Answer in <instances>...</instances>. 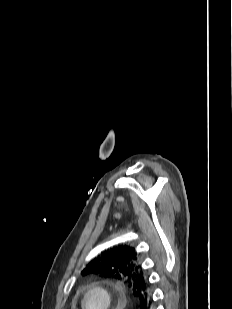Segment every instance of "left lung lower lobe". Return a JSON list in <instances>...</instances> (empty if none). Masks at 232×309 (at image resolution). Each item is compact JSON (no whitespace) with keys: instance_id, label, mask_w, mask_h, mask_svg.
Wrapping results in <instances>:
<instances>
[{"instance_id":"0a47b994","label":"left lung lower lobe","mask_w":232,"mask_h":309,"mask_svg":"<svg viewBox=\"0 0 232 309\" xmlns=\"http://www.w3.org/2000/svg\"><path fill=\"white\" fill-rule=\"evenodd\" d=\"M140 309H153V300L150 299L148 302L139 303Z\"/></svg>"}]
</instances>
